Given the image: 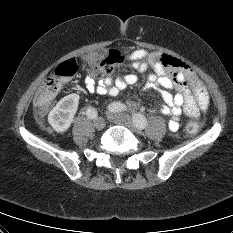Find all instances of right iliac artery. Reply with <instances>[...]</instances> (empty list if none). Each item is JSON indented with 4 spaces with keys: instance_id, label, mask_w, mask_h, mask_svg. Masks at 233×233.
Wrapping results in <instances>:
<instances>
[{
    "instance_id": "right-iliac-artery-1",
    "label": "right iliac artery",
    "mask_w": 233,
    "mask_h": 233,
    "mask_svg": "<svg viewBox=\"0 0 233 233\" xmlns=\"http://www.w3.org/2000/svg\"><path fill=\"white\" fill-rule=\"evenodd\" d=\"M86 115L88 118L90 119H94L97 117V112L94 108L92 107H89L87 110H86Z\"/></svg>"
}]
</instances>
